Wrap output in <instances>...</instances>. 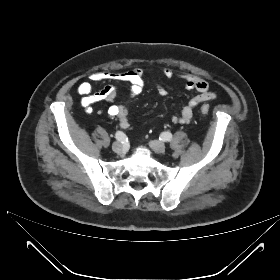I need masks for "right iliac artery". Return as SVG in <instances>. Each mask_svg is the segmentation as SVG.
Segmentation results:
<instances>
[{
  "label": "right iliac artery",
  "mask_w": 280,
  "mask_h": 280,
  "mask_svg": "<svg viewBox=\"0 0 280 280\" xmlns=\"http://www.w3.org/2000/svg\"><path fill=\"white\" fill-rule=\"evenodd\" d=\"M116 139L120 141L121 143H124L128 138L125 133L122 131H117L116 132Z\"/></svg>",
  "instance_id": "82829eb1"
}]
</instances>
